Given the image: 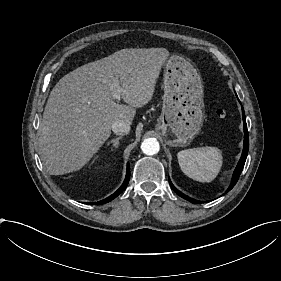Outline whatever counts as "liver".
<instances>
[{"mask_svg":"<svg viewBox=\"0 0 281 281\" xmlns=\"http://www.w3.org/2000/svg\"><path fill=\"white\" fill-rule=\"evenodd\" d=\"M166 48H123L63 76L47 100L39 147L47 172L68 173L82 167L108 138L118 120L131 123L138 107L152 97ZM116 77L122 99L111 101Z\"/></svg>","mask_w":281,"mask_h":281,"instance_id":"1","label":"liver"}]
</instances>
